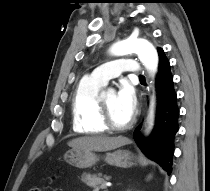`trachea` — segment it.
I'll list each match as a JSON object with an SVG mask.
<instances>
[{"label":"trachea","instance_id":"obj_1","mask_svg":"<svg viewBox=\"0 0 210 191\" xmlns=\"http://www.w3.org/2000/svg\"><path fill=\"white\" fill-rule=\"evenodd\" d=\"M140 78H144V76H140Z\"/></svg>","mask_w":210,"mask_h":191}]
</instances>
